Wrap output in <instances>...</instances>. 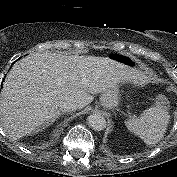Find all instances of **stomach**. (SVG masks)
<instances>
[{"mask_svg": "<svg viewBox=\"0 0 177 177\" xmlns=\"http://www.w3.org/2000/svg\"><path fill=\"white\" fill-rule=\"evenodd\" d=\"M111 57L119 62L128 65H135V58L131 55L126 54H113ZM120 101V92L119 86L113 87L108 89L107 91L103 92L100 97L101 105L107 109H114L119 105Z\"/></svg>", "mask_w": 177, "mask_h": 177, "instance_id": "obj_1", "label": "stomach"}]
</instances>
